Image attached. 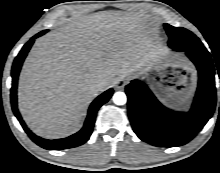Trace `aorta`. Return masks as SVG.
<instances>
[{"instance_id":"762f6f07","label":"aorta","mask_w":220,"mask_h":173,"mask_svg":"<svg viewBox=\"0 0 220 173\" xmlns=\"http://www.w3.org/2000/svg\"><path fill=\"white\" fill-rule=\"evenodd\" d=\"M127 101V97L124 92H116L113 96V102L116 105H124Z\"/></svg>"}]
</instances>
